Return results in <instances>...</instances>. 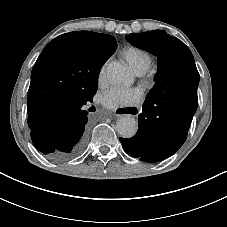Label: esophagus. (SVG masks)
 I'll list each match as a JSON object with an SVG mask.
<instances>
[{"label":"esophagus","instance_id":"1","mask_svg":"<svg viewBox=\"0 0 227 227\" xmlns=\"http://www.w3.org/2000/svg\"><path fill=\"white\" fill-rule=\"evenodd\" d=\"M139 107L134 106V107H118L116 110V115H132V114H138L139 112ZM135 116V115H133Z\"/></svg>","mask_w":227,"mask_h":227}]
</instances>
